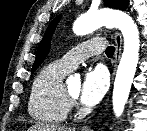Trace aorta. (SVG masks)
Returning a JSON list of instances; mask_svg holds the SVG:
<instances>
[{"mask_svg":"<svg viewBox=\"0 0 147 131\" xmlns=\"http://www.w3.org/2000/svg\"><path fill=\"white\" fill-rule=\"evenodd\" d=\"M102 26L118 28L124 38L123 54L118 65L112 96L113 111L120 117L128 100L139 60V31L128 14L111 9L79 16L74 22L73 30L77 35H86ZM73 79L79 81L80 76L75 74Z\"/></svg>","mask_w":147,"mask_h":131,"instance_id":"762f6f07","label":"aorta"}]
</instances>
